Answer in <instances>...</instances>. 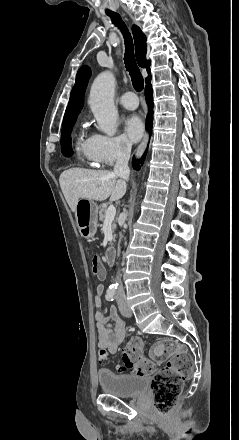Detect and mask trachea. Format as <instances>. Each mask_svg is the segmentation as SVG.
<instances>
[{"mask_svg": "<svg viewBox=\"0 0 239 440\" xmlns=\"http://www.w3.org/2000/svg\"><path fill=\"white\" fill-rule=\"evenodd\" d=\"M107 15L111 17L113 23L118 25V27L121 29L124 35L125 47H126L125 55H124V63L126 66V70L130 74V77L132 79V84L135 90L137 92H141L144 88V80L139 70V67L137 66L136 63L132 37L118 13H107Z\"/></svg>", "mask_w": 239, "mask_h": 440, "instance_id": "obj_1", "label": "trachea"}]
</instances>
